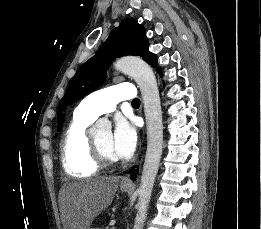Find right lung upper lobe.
<instances>
[{"mask_svg": "<svg viewBox=\"0 0 261 229\" xmlns=\"http://www.w3.org/2000/svg\"><path fill=\"white\" fill-rule=\"evenodd\" d=\"M62 123H63V117H62L61 120L59 121V125H58V126L62 125Z\"/></svg>", "mask_w": 261, "mask_h": 229, "instance_id": "1", "label": "right lung upper lobe"}]
</instances>
